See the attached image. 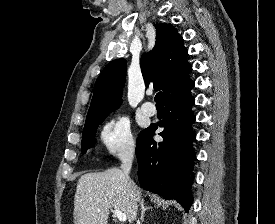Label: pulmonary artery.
I'll return each instance as SVG.
<instances>
[{
	"label": "pulmonary artery",
	"instance_id": "obj_1",
	"mask_svg": "<svg viewBox=\"0 0 275 224\" xmlns=\"http://www.w3.org/2000/svg\"><path fill=\"white\" fill-rule=\"evenodd\" d=\"M141 110L144 114H146L148 116H153L156 114V107L151 102L143 103L141 106Z\"/></svg>",
	"mask_w": 275,
	"mask_h": 224
}]
</instances>
